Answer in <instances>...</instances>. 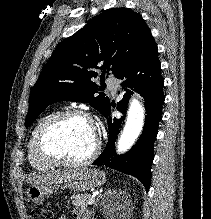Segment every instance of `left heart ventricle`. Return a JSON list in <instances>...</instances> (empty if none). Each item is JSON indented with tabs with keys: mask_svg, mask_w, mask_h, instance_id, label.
<instances>
[{
	"mask_svg": "<svg viewBox=\"0 0 211 219\" xmlns=\"http://www.w3.org/2000/svg\"><path fill=\"white\" fill-rule=\"evenodd\" d=\"M96 139L94 128L89 122L79 118H66L50 131L48 146L60 157L79 160L92 152Z\"/></svg>",
	"mask_w": 211,
	"mask_h": 219,
	"instance_id": "1",
	"label": "left heart ventricle"
}]
</instances>
